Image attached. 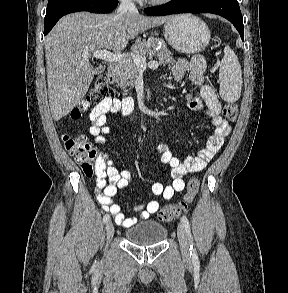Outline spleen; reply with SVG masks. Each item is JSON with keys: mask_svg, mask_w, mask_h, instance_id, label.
I'll return each mask as SVG.
<instances>
[{"mask_svg": "<svg viewBox=\"0 0 288 293\" xmlns=\"http://www.w3.org/2000/svg\"><path fill=\"white\" fill-rule=\"evenodd\" d=\"M220 89L222 99L227 102H236L241 95L242 71L234 51L227 45L219 69Z\"/></svg>", "mask_w": 288, "mask_h": 293, "instance_id": "spleen-1", "label": "spleen"}]
</instances>
